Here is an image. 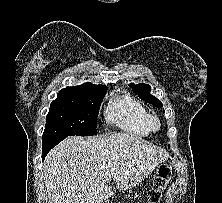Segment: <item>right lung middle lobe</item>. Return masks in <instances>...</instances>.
<instances>
[{"label":"right lung middle lobe","mask_w":222,"mask_h":203,"mask_svg":"<svg viewBox=\"0 0 222 203\" xmlns=\"http://www.w3.org/2000/svg\"><path fill=\"white\" fill-rule=\"evenodd\" d=\"M106 91H60L46 117L42 142L97 134V116Z\"/></svg>","instance_id":"1"}]
</instances>
